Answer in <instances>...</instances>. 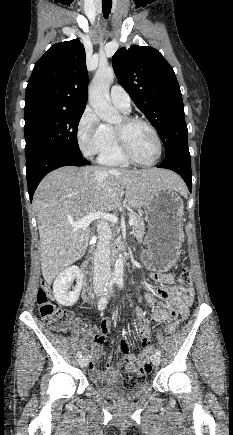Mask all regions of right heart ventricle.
<instances>
[{"label": "right heart ventricle", "mask_w": 233, "mask_h": 435, "mask_svg": "<svg viewBox=\"0 0 233 435\" xmlns=\"http://www.w3.org/2000/svg\"><path fill=\"white\" fill-rule=\"evenodd\" d=\"M106 147L99 156V162L106 166L127 167L130 163L123 157L119 149L114 128L105 125Z\"/></svg>", "instance_id": "obj_1"}]
</instances>
